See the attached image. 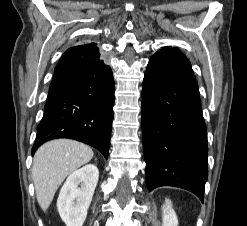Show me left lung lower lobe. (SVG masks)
<instances>
[{
    "mask_svg": "<svg viewBox=\"0 0 247 226\" xmlns=\"http://www.w3.org/2000/svg\"><path fill=\"white\" fill-rule=\"evenodd\" d=\"M142 133L149 190L175 186L201 201L207 180V129L188 59L170 46L150 59L142 89Z\"/></svg>",
    "mask_w": 247,
    "mask_h": 226,
    "instance_id": "0a47b994",
    "label": "left lung lower lobe"
}]
</instances>
